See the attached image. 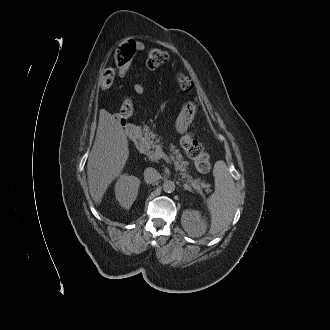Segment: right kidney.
I'll list each match as a JSON object with an SVG mask.
<instances>
[{
  "mask_svg": "<svg viewBox=\"0 0 330 330\" xmlns=\"http://www.w3.org/2000/svg\"><path fill=\"white\" fill-rule=\"evenodd\" d=\"M140 183L139 178L133 175L130 176L125 173L119 176L115 183V195L116 200L122 207L129 208L132 206L136 200Z\"/></svg>",
  "mask_w": 330,
  "mask_h": 330,
  "instance_id": "obj_1",
  "label": "right kidney"
}]
</instances>
